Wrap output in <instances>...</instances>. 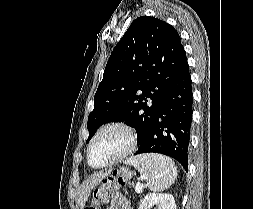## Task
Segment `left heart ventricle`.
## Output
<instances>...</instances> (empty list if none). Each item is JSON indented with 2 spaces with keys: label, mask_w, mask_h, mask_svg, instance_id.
I'll use <instances>...</instances> for the list:
<instances>
[{
  "label": "left heart ventricle",
  "mask_w": 253,
  "mask_h": 209,
  "mask_svg": "<svg viewBox=\"0 0 253 209\" xmlns=\"http://www.w3.org/2000/svg\"><path fill=\"white\" fill-rule=\"evenodd\" d=\"M127 145V135L120 128L105 130L95 140L91 149V162L101 165L117 156Z\"/></svg>",
  "instance_id": "b2bd125f"
}]
</instances>
